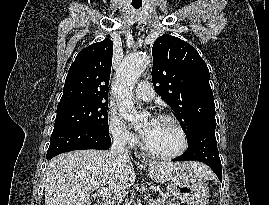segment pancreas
I'll return each mask as SVG.
<instances>
[{
  "label": "pancreas",
  "mask_w": 269,
  "mask_h": 205,
  "mask_svg": "<svg viewBox=\"0 0 269 205\" xmlns=\"http://www.w3.org/2000/svg\"><path fill=\"white\" fill-rule=\"evenodd\" d=\"M150 205H176V204H173L172 202L166 199H161V200H156L152 202Z\"/></svg>",
  "instance_id": "pancreas-1"
}]
</instances>
